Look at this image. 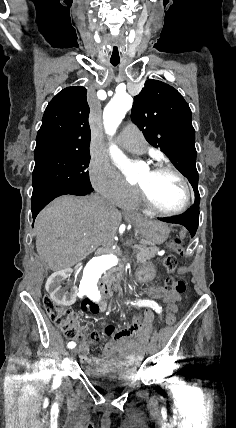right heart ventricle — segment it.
Listing matches in <instances>:
<instances>
[{"instance_id": "e07e8e85", "label": "right heart ventricle", "mask_w": 236, "mask_h": 428, "mask_svg": "<svg viewBox=\"0 0 236 428\" xmlns=\"http://www.w3.org/2000/svg\"><path fill=\"white\" fill-rule=\"evenodd\" d=\"M141 205L142 203L139 200V196L138 194L135 193V195L133 196V198L127 203V205Z\"/></svg>"}]
</instances>
